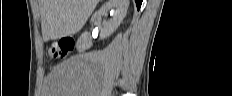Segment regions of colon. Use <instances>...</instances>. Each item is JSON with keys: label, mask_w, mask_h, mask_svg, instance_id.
<instances>
[{"label": "colon", "mask_w": 232, "mask_h": 96, "mask_svg": "<svg viewBox=\"0 0 232 96\" xmlns=\"http://www.w3.org/2000/svg\"><path fill=\"white\" fill-rule=\"evenodd\" d=\"M74 46L75 41L72 38H63L49 47L48 54L53 59L62 60L73 50Z\"/></svg>", "instance_id": "obj_1"}]
</instances>
